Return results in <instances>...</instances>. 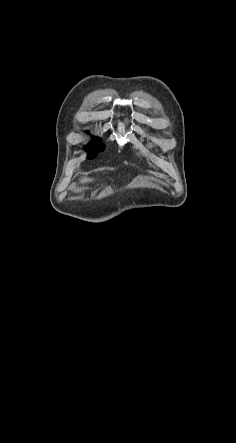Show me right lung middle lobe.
Segmentation results:
<instances>
[{
	"label": "right lung middle lobe",
	"instance_id": "dd1d6c3e",
	"mask_svg": "<svg viewBox=\"0 0 236 443\" xmlns=\"http://www.w3.org/2000/svg\"><path fill=\"white\" fill-rule=\"evenodd\" d=\"M94 145V144H93ZM91 149H93L94 150V148L95 149H99V150H103L104 149V146H100V147H98V146H96V145H94V148H92V147H90Z\"/></svg>",
	"mask_w": 236,
	"mask_h": 443
}]
</instances>
